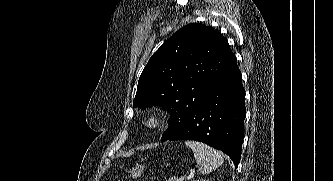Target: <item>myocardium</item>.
Masks as SVG:
<instances>
[{
    "label": "myocardium",
    "instance_id": "f54148a6",
    "mask_svg": "<svg viewBox=\"0 0 333 181\" xmlns=\"http://www.w3.org/2000/svg\"><path fill=\"white\" fill-rule=\"evenodd\" d=\"M163 116L160 111L153 110L148 112L142 119V126L146 130H155L163 125Z\"/></svg>",
    "mask_w": 333,
    "mask_h": 181
}]
</instances>
